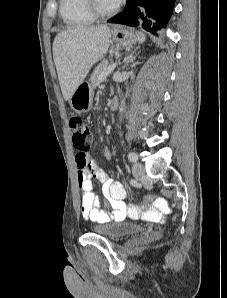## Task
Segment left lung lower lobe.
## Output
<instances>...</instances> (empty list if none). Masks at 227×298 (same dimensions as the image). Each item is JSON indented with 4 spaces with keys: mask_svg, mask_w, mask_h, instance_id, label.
Returning a JSON list of instances; mask_svg holds the SVG:
<instances>
[{
    "mask_svg": "<svg viewBox=\"0 0 227 298\" xmlns=\"http://www.w3.org/2000/svg\"><path fill=\"white\" fill-rule=\"evenodd\" d=\"M175 0H127L124 10L109 19V23L129 26L141 25L145 30L156 34L165 28L171 16Z\"/></svg>",
    "mask_w": 227,
    "mask_h": 298,
    "instance_id": "left-lung-lower-lobe-1",
    "label": "left lung lower lobe"
}]
</instances>
